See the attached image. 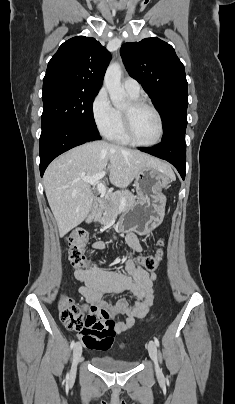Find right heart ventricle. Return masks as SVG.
Segmentation results:
<instances>
[{
    "label": "right heart ventricle",
    "instance_id": "e07e8e85",
    "mask_svg": "<svg viewBox=\"0 0 235 404\" xmlns=\"http://www.w3.org/2000/svg\"><path fill=\"white\" fill-rule=\"evenodd\" d=\"M132 100L138 99L139 95H130ZM116 111V117H115V122L112 127V129L105 135L109 140L114 141L118 144H123V145H130V141L127 139L125 136L124 130H123V122H122V110L120 109H115Z\"/></svg>",
    "mask_w": 235,
    "mask_h": 404
}]
</instances>
